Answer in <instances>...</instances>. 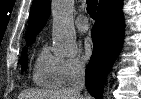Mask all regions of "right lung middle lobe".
Masks as SVG:
<instances>
[{
	"mask_svg": "<svg viewBox=\"0 0 141 99\" xmlns=\"http://www.w3.org/2000/svg\"><path fill=\"white\" fill-rule=\"evenodd\" d=\"M28 44H32V43H28ZM26 69H27V54H26V48H24L22 52V70H26Z\"/></svg>",
	"mask_w": 141,
	"mask_h": 99,
	"instance_id": "obj_1",
	"label": "right lung middle lobe"
}]
</instances>
